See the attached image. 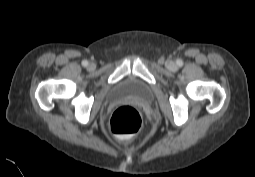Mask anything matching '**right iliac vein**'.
Listing matches in <instances>:
<instances>
[{"label": "right iliac vein", "mask_w": 255, "mask_h": 177, "mask_svg": "<svg viewBox=\"0 0 255 177\" xmlns=\"http://www.w3.org/2000/svg\"><path fill=\"white\" fill-rule=\"evenodd\" d=\"M88 69L89 70H94L95 69V65L93 63L89 64Z\"/></svg>", "instance_id": "right-iliac-vein-1"}]
</instances>
